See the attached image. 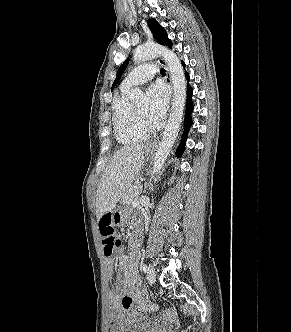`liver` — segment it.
Wrapping results in <instances>:
<instances>
[{"label": "liver", "instance_id": "obj_1", "mask_svg": "<svg viewBox=\"0 0 291 332\" xmlns=\"http://www.w3.org/2000/svg\"><path fill=\"white\" fill-rule=\"evenodd\" d=\"M146 150L144 145H132L115 152L105 168L96 194L98 221L114 209L122 194L136 179Z\"/></svg>", "mask_w": 291, "mask_h": 332}]
</instances>
